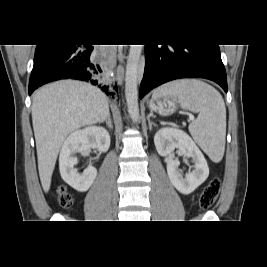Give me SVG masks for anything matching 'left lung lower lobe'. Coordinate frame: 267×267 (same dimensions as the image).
<instances>
[{
    "mask_svg": "<svg viewBox=\"0 0 267 267\" xmlns=\"http://www.w3.org/2000/svg\"><path fill=\"white\" fill-rule=\"evenodd\" d=\"M180 78H206L227 92V77L218 45H145L140 98L153 88Z\"/></svg>",
    "mask_w": 267,
    "mask_h": 267,
    "instance_id": "left-lung-lower-lobe-1",
    "label": "left lung lower lobe"
}]
</instances>
